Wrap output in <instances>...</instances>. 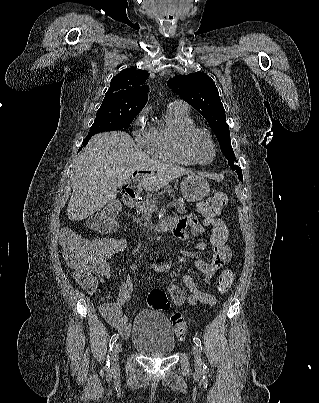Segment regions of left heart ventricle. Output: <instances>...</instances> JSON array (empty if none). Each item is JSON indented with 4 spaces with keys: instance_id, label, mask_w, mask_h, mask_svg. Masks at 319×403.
Here are the masks:
<instances>
[{
    "instance_id": "left-heart-ventricle-1",
    "label": "left heart ventricle",
    "mask_w": 319,
    "mask_h": 403,
    "mask_svg": "<svg viewBox=\"0 0 319 403\" xmlns=\"http://www.w3.org/2000/svg\"><path fill=\"white\" fill-rule=\"evenodd\" d=\"M190 149L195 158L200 161H208L212 158L213 148L209 140L203 134H195L191 138Z\"/></svg>"
}]
</instances>
